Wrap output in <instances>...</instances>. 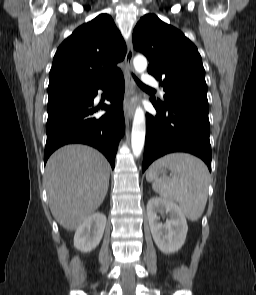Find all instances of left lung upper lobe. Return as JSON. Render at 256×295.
I'll list each match as a JSON object with an SVG mask.
<instances>
[{"mask_svg": "<svg viewBox=\"0 0 256 295\" xmlns=\"http://www.w3.org/2000/svg\"><path fill=\"white\" fill-rule=\"evenodd\" d=\"M133 45L149 60L148 73L160 80L161 107L186 105L209 110L205 70L196 46L185 35L154 14L140 19L133 31Z\"/></svg>", "mask_w": 256, "mask_h": 295, "instance_id": "1", "label": "left lung upper lobe"}]
</instances>
